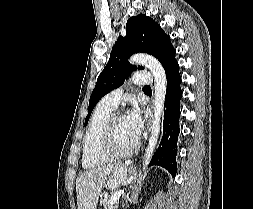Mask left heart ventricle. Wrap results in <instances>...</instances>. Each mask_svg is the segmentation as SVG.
Returning a JSON list of instances; mask_svg holds the SVG:
<instances>
[{
    "label": "left heart ventricle",
    "mask_w": 253,
    "mask_h": 209,
    "mask_svg": "<svg viewBox=\"0 0 253 209\" xmlns=\"http://www.w3.org/2000/svg\"><path fill=\"white\" fill-rule=\"evenodd\" d=\"M136 142L132 136L125 118L118 119L113 127V148L118 152L129 150Z\"/></svg>",
    "instance_id": "left-heart-ventricle-1"
}]
</instances>
